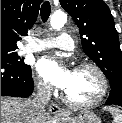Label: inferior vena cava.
<instances>
[{
    "label": "inferior vena cava",
    "instance_id": "602c4592",
    "mask_svg": "<svg viewBox=\"0 0 122 123\" xmlns=\"http://www.w3.org/2000/svg\"><path fill=\"white\" fill-rule=\"evenodd\" d=\"M51 98V86L40 83L38 85L37 95L32 100V106L38 116L45 113V107Z\"/></svg>",
    "mask_w": 122,
    "mask_h": 123
}]
</instances>
